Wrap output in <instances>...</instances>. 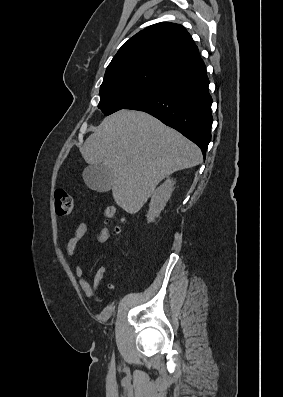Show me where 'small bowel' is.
I'll use <instances>...</instances> for the list:
<instances>
[{"mask_svg": "<svg viewBox=\"0 0 283 397\" xmlns=\"http://www.w3.org/2000/svg\"><path fill=\"white\" fill-rule=\"evenodd\" d=\"M88 231V225L86 222L82 221L76 227V230L73 236L68 240L66 244V255L68 257H72L75 254L76 248L79 242L84 238ZM109 238V230L106 227L100 228L96 234L95 239L104 243ZM83 268L81 265L77 264L75 267V275L78 278L79 285L84 292V294L95 301H100V288L102 285V281L104 279L105 269L99 268L95 275L93 285H91L83 276Z\"/></svg>", "mask_w": 283, "mask_h": 397, "instance_id": "1", "label": "small bowel"}]
</instances>
